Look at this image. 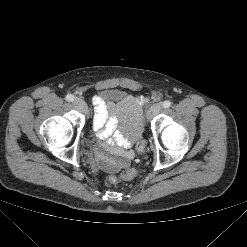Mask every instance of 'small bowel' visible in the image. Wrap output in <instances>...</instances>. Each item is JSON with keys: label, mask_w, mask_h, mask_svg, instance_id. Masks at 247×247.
<instances>
[{"label": "small bowel", "mask_w": 247, "mask_h": 247, "mask_svg": "<svg viewBox=\"0 0 247 247\" xmlns=\"http://www.w3.org/2000/svg\"><path fill=\"white\" fill-rule=\"evenodd\" d=\"M95 116L93 128L98 137H108L116 132L120 143L118 154L122 157L118 161L103 160L108 169H120L127 165L132 157L131 143L136 140L142 129L141 108L144 100L131 95L120 101L106 102L99 96L93 98Z\"/></svg>", "instance_id": "1"}]
</instances>
